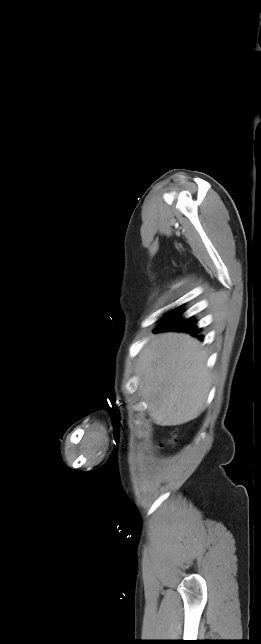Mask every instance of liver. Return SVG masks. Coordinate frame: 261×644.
<instances>
[{
  "label": "liver",
  "mask_w": 261,
  "mask_h": 644,
  "mask_svg": "<svg viewBox=\"0 0 261 644\" xmlns=\"http://www.w3.org/2000/svg\"><path fill=\"white\" fill-rule=\"evenodd\" d=\"M207 358L197 339L174 332L156 335L140 352L139 390L155 424L177 426L203 412L212 380Z\"/></svg>",
  "instance_id": "6515ba94"
}]
</instances>
